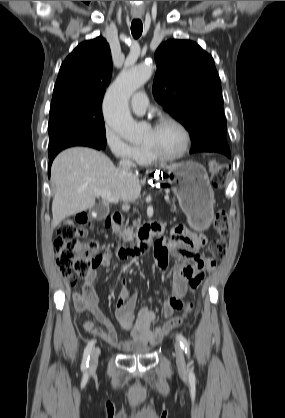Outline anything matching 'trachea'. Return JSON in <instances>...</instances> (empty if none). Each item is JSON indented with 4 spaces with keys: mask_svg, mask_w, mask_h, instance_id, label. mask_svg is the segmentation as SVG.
I'll list each match as a JSON object with an SVG mask.
<instances>
[{
    "mask_svg": "<svg viewBox=\"0 0 285 418\" xmlns=\"http://www.w3.org/2000/svg\"><path fill=\"white\" fill-rule=\"evenodd\" d=\"M143 24L139 19H135L131 23V32L134 38H139L142 34Z\"/></svg>",
    "mask_w": 285,
    "mask_h": 418,
    "instance_id": "trachea-1",
    "label": "trachea"
}]
</instances>
